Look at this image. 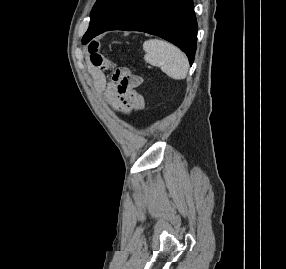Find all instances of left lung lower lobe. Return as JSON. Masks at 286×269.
<instances>
[{"instance_id":"0a47b994","label":"left lung lower lobe","mask_w":286,"mask_h":269,"mask_svg":"<svg viewBox=\"0 0 286 269\" xmlns=\"http://www.w3.org/2000/svg\"><path fill=\"white\" fill-rule=\"evenodd\" d=\"M109 30L142 31L157 35L184 51L190 65L194 61L197 22L192 0H143L97 35Z\"/></svg>"}]
</instances>
